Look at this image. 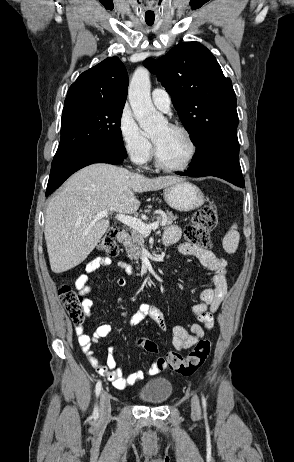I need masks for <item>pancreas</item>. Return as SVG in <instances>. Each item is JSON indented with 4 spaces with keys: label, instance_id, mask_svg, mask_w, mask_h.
<instances>
[{
    "label": "pancreas",
    "instance_id": "cf45deb5",
    "mask_svg": "<svg viewBox=\"0 0 294 462\" xmlns=\"http://www.w3.org/2000/svg\"><path fill=\"white\" fill-rule=\"evenodd\" d=\"M154 219L160 222L161 226H170L177 216L171 211H159L154 213ZM130 236L124 243L128 258L138 261L142 258V248L144 246L143 235L135 229H131Z\"/></svg>",
    "mask_w": 294,
    "mask_h": 462
}]
</instances>
